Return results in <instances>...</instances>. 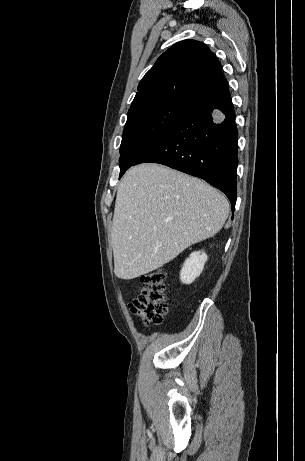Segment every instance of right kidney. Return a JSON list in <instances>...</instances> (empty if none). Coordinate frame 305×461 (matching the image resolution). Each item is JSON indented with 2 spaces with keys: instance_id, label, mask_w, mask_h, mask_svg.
<instances>
[{
  "instance_id": "1",
  "label": "right kidney",
  "mask_w": 305,
  "mask_h": 461,
  "mask_svg": "<svg viewBox=\"0 0 305 461\" xmlns=\"http://www.w3.org/2000/svg\"><path fill=\"white\" fill-rule=\"evenodd\" d=\"M207 254L203 251H196L190 254L185 260L180 272V280L184 284H191L200 276L207 261Z\"/></svg>"
}]
</instances>
